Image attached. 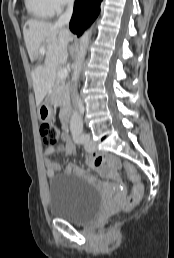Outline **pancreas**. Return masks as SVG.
I'll return each instance as SVG.
<instances>
[{
  "mask_svg": "<svg viewBox=\"0 0 174 258\" xmlns=\"http://www.w3.org/2000/svg\"><path fill=\"white\" fill-rule=\"evenodd\" d=\"M52 103L65 107L69 103V86L56 75L55 84L52 90Z\"/></svg>",
  "mask_w": 174,
  "mask_h": 258,
  "instance_id": "1",
  "label": "pancreas"
}]
</instances>
